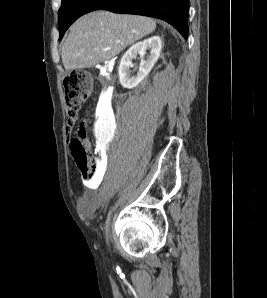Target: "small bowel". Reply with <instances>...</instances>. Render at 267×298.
<instances>
[{
	"mask_svg": "<svg viewBox=\"0 0 267 298\" xmlns=\"http://www.w3.org/2000/svg\"><path fill=\"white\" fill-rule=\"evenodd\" d=\"M103 199L104 197L101 194L97 193H87L82 195L78 200L81 212L85 216H91L97 206L103 201Z\"/></svg>",
	"mask_w": 267,
	"mask_h": 298,
	"instance_id": "1",
	"label": "small bowel"
}]
</instances>
